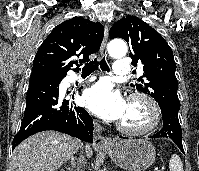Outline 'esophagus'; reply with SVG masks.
I'll use <instances>...</instances> for the list:
<instances>
[{
	"label": "esophagus",
	"instance_id": "34e87169",
	"mask_svg": "<svg viewBox=\"0 0 199 171\" xmlns=\"http://www.w3.org/2000/svg\"><path fill=\"white\" fill-rule=\"evenodd\" d=\"M108 32H109L108 24H105L104 38H103L101 48H100L101 55H104L106 51V45L108 41ZM102 130H103L102 127L97 122H94V131H95L94 145L98 148H105L112 144V141L110 138H107L104 135H102Z\"/></svg>",
	"mask_w": 199,
	"mask_h": 171
}]
</instances>
